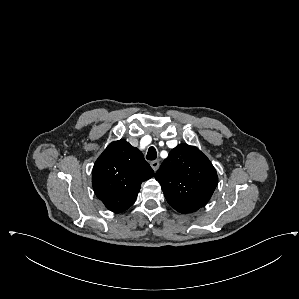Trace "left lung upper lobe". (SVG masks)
<instances>
[{"label": "left lung upper lobe", "mask_w": 299, "mask_h": 299, "mask_svg": "<svg viewBox=\"0 0 299 299\" xmlns=\"http://www.w3.org/2000/svg\"><path fill=\"white\" fill-rule=\"evenodd\" d=\"M167 202L178 212L191 213L211 198L218 182L215 168L196 147L172 149L155 175Z\"/></svg>", "instance_id": "5c2ea615"}]
</instances>
